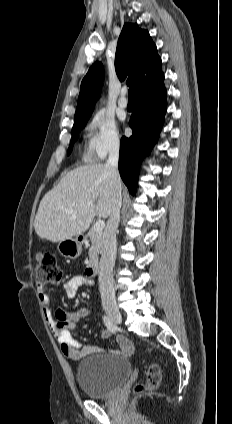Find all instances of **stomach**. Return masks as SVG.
Listing matches in <instances>:
<instances>
[{"mask_svg":"<svg viewBox=\"0 0 232 424\" xmlns=\"http://www.w3.org/2000/svg\"><path fill=\"white\" fill-rule=\"evenodd\" d=\"M81 237H72L58 243V251L65 258L76 259L82 252Z\"/></svg>","mask_w":232,"mask_h":424,"instance_id":"stomach-1","label":"stomach"}]
</instances>
